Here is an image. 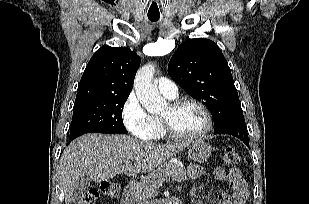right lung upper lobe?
<instances>
[{
  "label": "right lung upper lobe",
  "mask_w": 309,
  "mask_h": 204,
  "mask_svg": "<svg viewBox=\"0 0 309 204\" xmlns=\"http://www.w3.org/2000/svg\"><path fill=\"white\" fill-rule=\"evenodd\" d=\"M140 57L125 47L102 46L80 80L75 103L105 96H129Z\"/></svg>",
  "instance_id": "right-lung-upper-lobe-1"
}]
</instances>
